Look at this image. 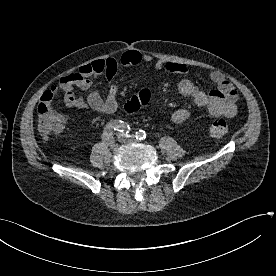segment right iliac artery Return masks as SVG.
Returning <instances> with one entry per match:
<instances>
[{"label":"right iliac artery","instance_id":"obj_1","mask_svg":"<svg viewBox=\"0 0 276 276\" xmlns=\"http://www.w3.org/2000/svg\"><path fill=\"white\" fill-rule=\"evenodd\" d=\"M130 126L121 120H114L109 122L103 131V139L109 142L113 138V132L118 131L122 133H126V135L130 132Z\"/></svg>","mask_w":276,"mask_h":276}]
</instances>
